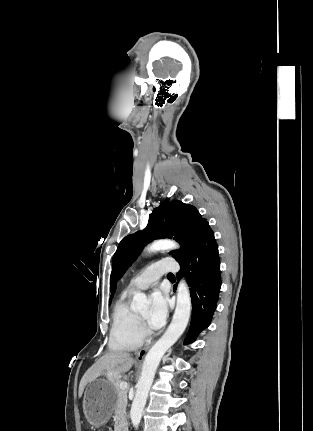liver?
Here are the masks:
<instances>
[{"instance_id":"1","label":"liver","mask_w":313,"mask_h":431,"mask_svg":"<svg viewBox=\"0 0 313 431\" xmlns=\"http://www.w3.org/2000/svg\"><path fill=\"white\" fill-rule=\"evenodd\" d=\"M134 364V359L127 352L111 351L103 355L94 363L83 375L78 395L82 396L86 385L103 374H107L109 379L118 377L120 374L128 372Z\"/></svg>"}]
</instances>
